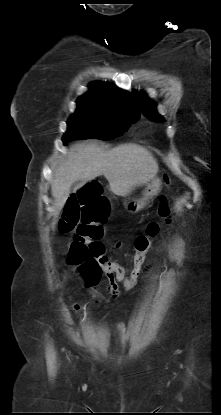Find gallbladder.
Instances as JSON below:
<instances>
[{
  "label": "gallbladder",
  "mask_w": 221,
  "mask_h": 415,
  "mask_svg": "<svg viewBox=\"0 0 221 415\" xmlns=\"http://www.w3.org/2000/svg\"><path fill=\"white\" fill-rule=\"evenodd\" d=\"M84 184V181H76L71 185V190L76 191L77 189L81 188Z\"/></svg>",
  "instance_id": "1"
}]
</instances>
